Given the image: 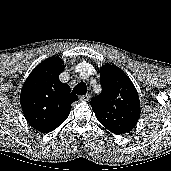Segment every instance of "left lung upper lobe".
Returning <instances> with one entry per match:
<instances>
[{
    "instance_id": "obj_1",
    "label": "left lung upper lobe",
    "mask_w": 171,
    "mask_h": 171,
    "mask_svg": "<svg viewBox=\"0 0 171 171\" xmlns=\"http://www.w3.org/2000/svg\"><path fill=\"white\" fill-rule=\"evenodd\" d=\"M102 92L91 99L99 122L110 132L121 135L135 128L140 117V101L129 77L118 67L100 68Z\"/></svg>"
}]
</instances>
